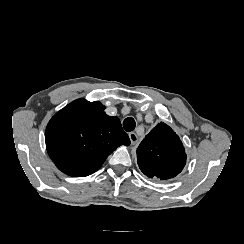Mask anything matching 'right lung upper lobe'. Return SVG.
<instances>
[{
    "mask_svg": "<svg viewBox=\"0 0 244 244\" xmlns=\"http://www.w3.org/2000/svg\"><path fill=\"white\" fill-rule=\"evenodd\" d=\"M99 101L77 99L49 121L45 142L57 168L69 176L85 177L97 171L119 146L130 144L120 120L108 116Z\"/></svg>",
    "mask_w": 244,
    "mask_h": 244,
    "instance_id": "obj_1",
    "label": "right lung upper lobe"
}]
</instances>
